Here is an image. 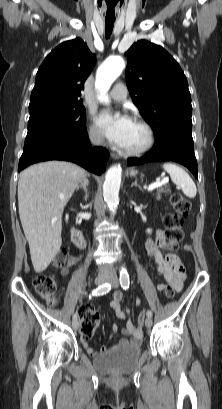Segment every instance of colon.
I'll return each mask as SVG.
<instances>
[{"label": "colon", "mask_w": 222, "mask_h": 409, "mask_svg": "<svg viewBox=\"0 0 222 409\" xmlns=\"http://www.w3.org/2000/svg\"><path fill=\"white\" fill-rule=\"evenodd\" d=\"M170 201L174 211L168 213L164 218V224L166 226L165 237L168 248L176 249L183 238L181 226L189 215L191 205L180 193H173L170 197ZM169 256L174 255H168L167 260ZM66 262L67 253L65 250H61L54 256L52 265L54 268H61ZM33 284L36 292L49 304H55L57 302V284L54 276L41 273L34 278ZM174 294L175 290L172 287H168L165 291L167 298L173 297ZM79 316L82 322L80 335L84 340H88L94 335L99 326V314L91 306L83 305L79 308ZM147 317L148 312L142 311L138 317V323L142 325L144 318Z\"/></svg>", "instance_id": "1"}]
</instances>
